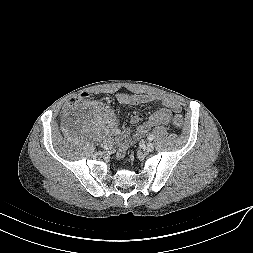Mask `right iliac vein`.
I'll return each mask as SVG.
<instances>
[{"mask_svg":"<svg viewBox=\"0 0 253 253\" xmlns=\"http://www.w3.org/2000/svg\"><path fill=\"white\" fill-rule=\"evenodd\" d=\"M101 146L104 148V149H109L112 147V142L110 140H105L101 143Z\"/></svg>","mask_w":253,"mask_h":253,"instance_id":"right-iliac-vein-1","label":"right iliac vein"}]
</instances>
